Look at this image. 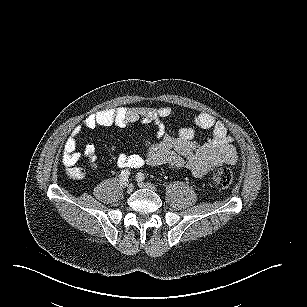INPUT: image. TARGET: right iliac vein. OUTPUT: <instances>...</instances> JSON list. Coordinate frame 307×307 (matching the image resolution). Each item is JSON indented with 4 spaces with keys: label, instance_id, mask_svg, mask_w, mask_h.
<instances>
[{
    "label": "right iliac vein",
    "instance_id": "63e3f726",
    "mask_svg": "<svg viewBox=\"0 0 307 307\" xmlns=\"http://www.w3.org/2000/svg\"><path fill=\"white\" fill-rule=\"evenodd\" d=\"M134 189V185L132 183L127 185V192L131 193Z\"/></svg>",
    "mask_w": 307,
    "mask_h": 307
}]
</instances>
